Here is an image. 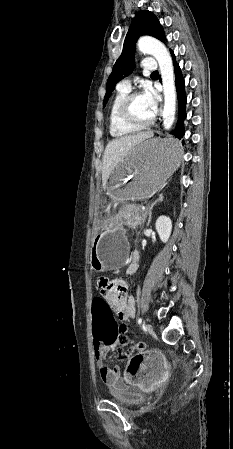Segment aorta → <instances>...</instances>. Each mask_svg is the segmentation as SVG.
I'll return each instance as SVG.
<instances>
[{
  "instance_id": "obj_1",
  "label": "aorta",
  "mask_w": 233,
  "mask_h": 449,
  "mask_svg": "<svg viewBox=\"0 0 233 449\" xmlns=\"http://www.w3.org/2000/svg\"><path fill=\"white\" fill-rule=\"evenodd\" d=\"M138 48L142 53L154 56L159 63L164 92L163 126L169 130L173 125L176 110L175 77L171 56L166 47L152 37L140 38Z\"/></svg>"
}]
</instances>
